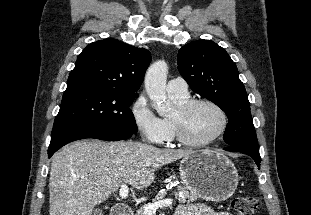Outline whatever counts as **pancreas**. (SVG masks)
<instances>
[{
    "mask_svg": "<svg viewBox=\"0 0 311 215\" xmlns=\"http://www.w3.org/2000/svg\"><path fill=\"white\" fill-rule=\"evenodd\" d=\"M167 193L164 191L162 193L157 194L156 198L153 200V202H156L157 200L162 199ZM174 195L181 203H191L194 202L197 199V196L190 192L186 187L184 186H178V192H175ZM135 215H145L144 210L138 209L135 213Z\"/></svg>",
    "mask_w": 311,
    "mask_h": 215,
    "instance_id": "obj_1",
    "label": "pancreas"
}]
</instances>
